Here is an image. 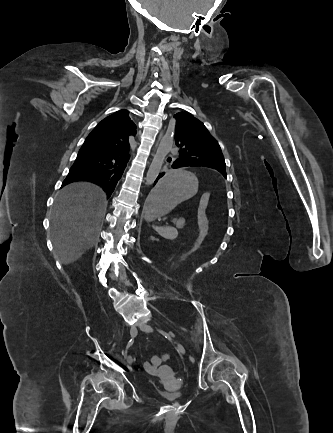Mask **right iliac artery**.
<instances>
[{
	"label": "right iliac artery",
	"mask_w": 333,
	"mask_h": 433,
	"mask_svg": "<svg viewBox=\"0 0 333 433\" xmlns=\"http://www.w3.org/2000/svg\"><path fill=\"white\" fill-rule=\"evenodd\" d=\"M133 343H134V337L129 340L126 349L122 352V354L124 355L125 358H127V350H128V348L131 347L133 345Z\"/></svg>",
	"instance_id": "1"
}]
</instances>
